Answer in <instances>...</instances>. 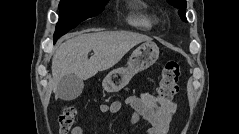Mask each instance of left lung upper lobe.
<instances>
[{"instance_id": "obj_1", "label": "left lung upper lobe", "mask_w": 239, "mask_h": 134, "mask_svg": "<svg viewBox=\"0 0 239 134\" xmlns=\"http://www.w3.org/2000/svg\"><path fill=\"white\" fill-rule=\"evenodd\" d=\"M167 2L173 5L174 7L178 8L181 19L187 22L185 17V9L187 7L186 0H167Z\"/></svg>"}]
</instances>
